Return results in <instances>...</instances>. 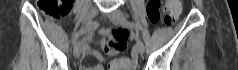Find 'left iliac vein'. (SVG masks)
<instances>
[{"instance_id": "left-iliac-vein-1", "label": "left iliac vein", "mask_w": 238, "mask_h": 70, "mask_svg": "<svg viewBox=\"0 0 238 70\" xmlns=\"http://www.w3.org/2000/svg\"><path fill=\"white\" fill-rule=\"evenodd\" d=\"M109 18L110 20L115 23V24H119V25H125V20H126V16L124 15V13L117 9L113 12H111L109 15ZM135 40H136V50L139 54H143L144 53V44L142 42V40L138 37V36H135Z\"/></svg>"}]
</instances>
